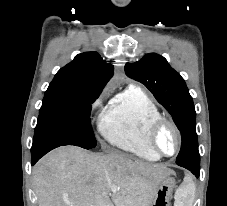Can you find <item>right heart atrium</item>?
I'll return each instance as SVG.
<instances>
[{
    "instance_id": "obj_1",
    "label": "right heart atrium",
    "mask_w": 227,
    "mask_h": 206,
    "mask_svg": "<svg viewBox=\"0 0 227 206\" xmlns=\"http://www.w3.org/2000/svg\"><path fill=\"white\" fill-rule=\"evenodd\" d=\"M102 103V97H99L98 99H96L93 104H92V110H96L97 108H99V106Z\"/></svg>"
}]
</instances>
